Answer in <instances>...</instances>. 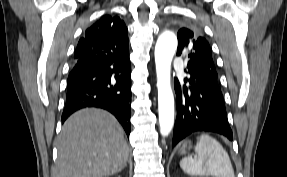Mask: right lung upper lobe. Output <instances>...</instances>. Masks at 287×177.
<instances>
[{
	"label": "right lung upper lobe",
	"instance_id": "obj_1",
	"mask_svg": "<svg viewBox=\"0 0 287 177\" xmlns=\"http://www.w3.org/2000/svg\"><path fill=\"white\" fill-rule=\"evenodd\" d=\"M127 34L125 23L119 17L110 15L102 16L85 32V35L79 40L74 53L75 61L84 57L87 51V42L100 39H113Z\"/></svg>",
	"mask_w": 287,
	"mask_h": 177
}]
</instances>
